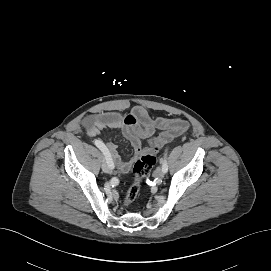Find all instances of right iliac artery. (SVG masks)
I'll return each mask as SVG.
<instances>
[{
	"label": "right iliac artery",
	"instance_id": "82829eb1",
	"mask_svg": "<svg viewBox=\"0 0 271 271\" xmlns=\"http://www.w3.org/2000/svg\"><path fill=\"white\" fill-rule=\"evenodd\" d=\"M94 144L103 152L107 163L109 164L110 168L113 169L114 163L112 161L111 155L107 147L105 146V144L101 140H97V139L94 140Z\"/></svg>",
	"mask_w": 271,
	"mask_h": 271
}]
</instances>
